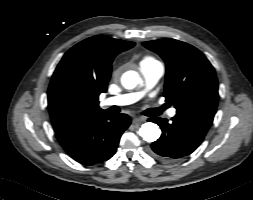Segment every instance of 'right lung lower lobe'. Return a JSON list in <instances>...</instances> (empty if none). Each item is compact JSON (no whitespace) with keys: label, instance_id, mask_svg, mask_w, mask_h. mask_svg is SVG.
<instances>
[{"label":"right lung lower lobe","instance_id":"right-lung-lower-lobe-1","mask_svg":"<svg viewBox=\"0 0 253 200\" xmlns=\"http://www.w3.org/2000/svg\"><path fill=\"white\" fill-rule=\"evenodd\" d=\"M130 123V117L125 114L104 113L56 131V137L73 159L94 165L115 154L120 137Z\"/></svg>","mask_w":253,"mask_h":200}]
</instances>
